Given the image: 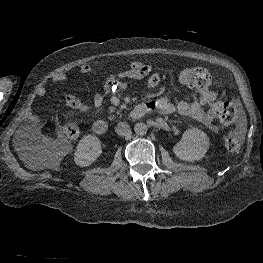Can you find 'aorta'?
I'll return each instance as SVG.
<instances>
[{
  "mask_svg": "<svg viewBox=\"0 0 263 263\" xmlns=\"http://www.w3.org/2000/svg\"><path fill=\"white\" fill-rule=\"evenodd\" d=\"M148 126L145 123L139 122L135 124L134 131L137 135L143 136L147 133Z\"/></svg>",
  "mask_w": 263,
  "mask_h": 263,
  "instance_id": "762f6f07",
  "label": "aorta"
}]
</instances>
